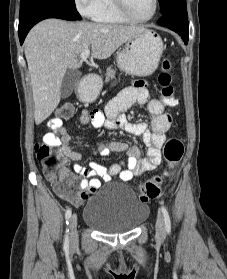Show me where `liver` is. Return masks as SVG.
Wrapping results in <instances>:
<instances>
[{"mask_svg":"<svg viewBox=\"0 0 227 279\" xmlns=\"http://www.w3.org/2000/svg\"><path fill=\"white\" fill-rule=\"evenodd\" d=\"M142 28L60 19H46L35 25L25 39L24 52L31 77L36 125L58 106L66 70L82 65L78 57L84 50L91 47L92 57L107 59Z\"/></svg>","mask_w":227,"mask_h":279,"instance_id":"1","label":"liver"}]
</instances>
